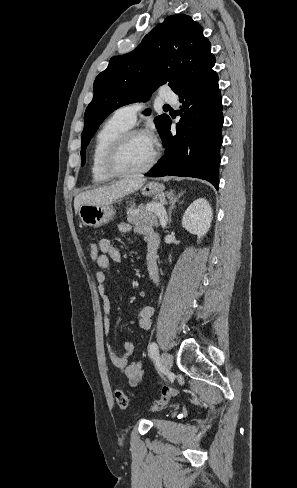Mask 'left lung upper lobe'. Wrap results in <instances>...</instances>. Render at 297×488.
<instances>
[{
  "label": "left lung upper lobe",
  "mask_w": 297,
  "mask_h": 488,
  "mask_svg": "<svg viewBox=\"0 0 297 488\" xmlns=\"http://www.w3.org/2000/svg\"><path fill=\"white\" fill-rule=\"evenodd\" d=\"M214 64L211 44L203 36L202 27L185 14L169 16L134 51L112 57L107 69L96 77L93 100L85 111L81 164L85 163L86 146L115 109L148 100L166 83L181 96L214 72ZM169 119L166 114L155 118L161 137Z\"/></svg>",
  "instance_id": "5c2ea615"
}]
</instances>
